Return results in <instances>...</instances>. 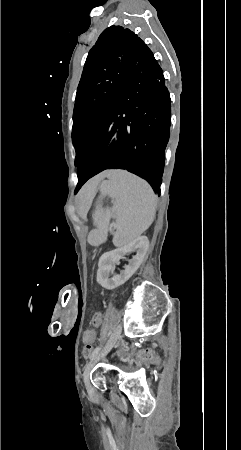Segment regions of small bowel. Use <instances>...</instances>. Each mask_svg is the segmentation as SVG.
<instances>
[{"label":"small bowel","instance_id":"small-bowel-1","mask_svg":"<svg viewBox=\"0 0 241 450\" xmlns=\"http://www.w3.org/2000/svg\"><path fill=\"white\" fill-rule=\"evenodd\" d=\"M89 323L91 325H93L94 323H97L98 325H100L102 323V318L100 316H91L89 318ZM84 338V336H83Z\"/></svg>","mask_w":241,"mask_h":450}]
</instances>
